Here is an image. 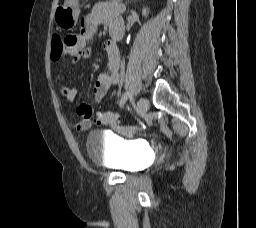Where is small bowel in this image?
<instances>
[{
  "label": "small bowel",
  "instance_id": "obj_1",
  "mask_svg": "<svg viewBox=\"0 0 256 228\" xmlns=\"http://www.w3.org/2000/svg\"><path fill=\"white\" fill-rule=\"evenodd\" d=\"M123 5L119 1L104 2L97 4L92 11L81 21L80 32L66 36L64 40V49L62 54L55 61L71 58L73 63H79L81 60H87L91 57V50L88 46L89 42L97 32L100 25H108L110 34L111 29L116 25H122L123 21L121 13ZM112 37V36H111ZM102 48L107 54L108 64L107 70L99 74L93 90L95 102H100L110 89L118 85L121 81L120 77V52L116 44V39L105 40ZM61 95L68 101L73 102L78 95V89L68 85H62L60 88ZM76 115L80 118L73 123V127L77 131H86L91 127V119L93 109L89 104L82 103L76 108ZM117 132H126L127 130L113 126Z\"/></svg>",
  "mask_w": 256,
  "mask_h": 228
}]
</instances>
